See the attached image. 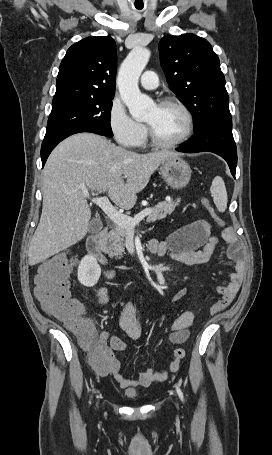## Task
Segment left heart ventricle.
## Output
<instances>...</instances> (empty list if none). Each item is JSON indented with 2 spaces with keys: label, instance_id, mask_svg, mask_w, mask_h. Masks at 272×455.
<instances>
[{
  "label": "left heart ventricle",
  "instance_id": "1",
  "mask_svg": "<svg viewBox=\"0 0 272 455\" xmlns=\"http://www.w3.org/2000/svg\"><path fill=\"white\" fill-rule=\"evenodd\" d=\"M145 122L153 129L156 137L163 142L179 139L186 128L182 111L176 106H153L145 117Z\"/></svg>",
  "mask_w": 272,
  "mask_h": 455
}]
</instances>
